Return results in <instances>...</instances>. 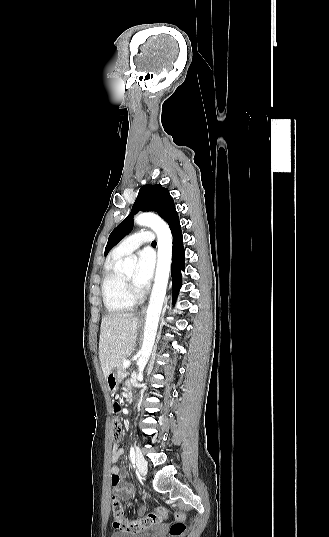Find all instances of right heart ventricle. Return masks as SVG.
I'll use <instances>...</instances> for the list:
<instances>
[{"mask_svg": "<svg viewBox=\"0 0 329 537\" xmlns=\"http://www.w3.org/2000/svg\"><path fill=\"white\" fill-rule=\"evenodd\" d=\"M121 258L122 256L113 253L103 270L102 297L106 309L112 314L129 311L134 306V300L127 295L118 270Z\"/></svg>", "mask_w": 329, "mask_h": 537, "instance_id": "1", "label": "right heart ventricle"}]
</instances>
